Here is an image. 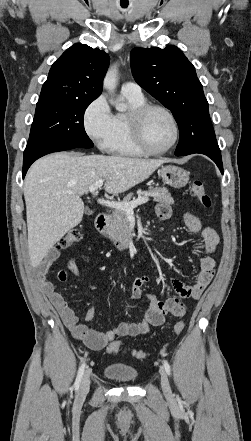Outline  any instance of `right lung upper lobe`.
Here are the masks:
<instances>
[{
    "label": "right lung upper lobe",
    "mask_w": 251,
    "mask_h": 441,
    "mask_svg": "<svg viewBox=\"0 0 251 441\" xmlns=\"http://www.w3.org/2000/svg\"><path fill=\"white\" fill-rule=\"evenodd\" d=\"M109 62L104 51L74 44L53 63L38 102L97 98Z\"/></svg>",
    "instance_id": "cb5924a9"
}]
</instances>
